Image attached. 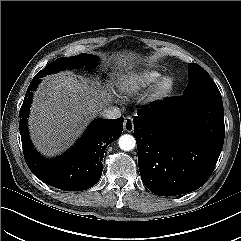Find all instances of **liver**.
Instances as JSON below:
<instances>
[{
  "label": "liver",
  "mask_w": 241,
  "mask_h": 241,
  "mask_svg": "<svg viewBox=\"0 0 241 241\" xmlns=\"http://www.w3.org/2000/svg\"><path fill=\"white\" fill-rule=\"evenodd\" d=\"M120 65L131 70L134 53L120 54ZM123 57V58H122ZM136 77L128 71L117 82L127 88ZM112 95L98 81L77 79L67 72L47 76L34 92L28 120L37 150L48 157L70 147L89 122L109 105Z\"/></svg>",
  "instance_id": "1"
}]
</instances>
